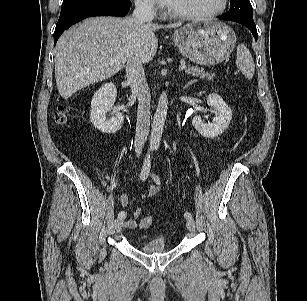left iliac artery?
<instances>
[{
	"mask_svg": "<svg viewBox=\"0 0 307 301\" xmlns=\"http://www.w3.org/2000/svg\"><path fill=\"white\" fill-rule=\"evenodd\" d=\"M184 217L186 219H191L192 218V214L190 212H185Z\"/></svg>",
	"mask_w": 307,
	"mask_h": 301,
	"instance_id": "44dca946",
	"label": "left iliac artery"
}]
</instances>
